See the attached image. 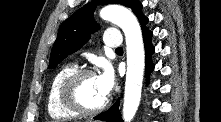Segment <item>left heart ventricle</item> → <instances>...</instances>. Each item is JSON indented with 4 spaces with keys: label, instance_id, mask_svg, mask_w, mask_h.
I'll return each mask as SVG.
<instances>
[{
    "label": "left heart ventricle",
    "instance_id": "b2bd125f",
    "mask_svg": "<svg viewBox=\"0 0 221 122\" xmlns=\"http://www.w3.org/2000/svg\"><path fill=\"white\" fill-rule=\"evenodd\" d=\"M77 96L89 108L99 106L107 98L100 89L97 76L83 78L77 86Z\"/></svg>",
    "mask_w": 221,
    "mask_h": 122
}]
</instances>
